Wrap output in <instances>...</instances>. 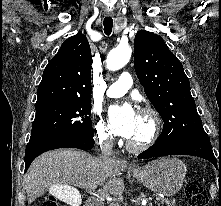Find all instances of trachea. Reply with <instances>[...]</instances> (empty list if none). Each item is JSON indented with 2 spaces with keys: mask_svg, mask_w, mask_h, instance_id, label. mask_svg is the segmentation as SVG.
<instances>
[{
  "mask_svg": "<svg viewBox=\"0 0 221 206\" xmlns=\"http://www.w3.org/2000/svg\"><path fill=\"white\" fill-rule=\"evenodd\" d=\"M104 32L106 35H110L113 27V20L111 17H105L103 21Z\"/></svg>",
  "mask_w": 221,
  "mask_h": 206,
  "instance_id": "1",
  "label": "trachea"
}]
</instances>
